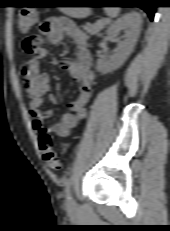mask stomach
Here are the masks:
<instances>
[{
	"mask_svg": "<svg viewBox=\"0 0 170 231\" xmlns=\"http://www.w3.org/2000/svg\"><path fill=\"white\" fill-rule=\"evenodd\" d=\"M56 3H62V4H76L73 1H59ZM59 9L65 13L68 16L71 17H84L86 15L87 9L85 7H59Z\"/></svg>",
	"mask_w": 170,
	"mask_h": 231,
	"instance_id": "1",
	"label": "stomach"
}]
</instances>
